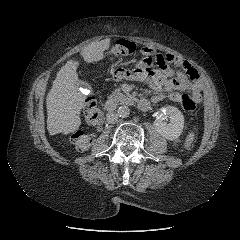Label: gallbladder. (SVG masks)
<instances>
[{
	"mask_svg": "<svg viewBox=\"0 0 240 240\" xmlns=\"http://www.w3.org/2000/svg\"><path fill=\"white\" fill-rule=\"evenodd\" d=\"M83 85H85V84L80 83L78 86H83Z\"/></svg>",
	"mask_w": 240,
	"mask_h": 240,
	"instance_id": "1",
	"label": "gallbladder"
}]
</instances>
